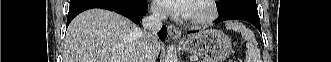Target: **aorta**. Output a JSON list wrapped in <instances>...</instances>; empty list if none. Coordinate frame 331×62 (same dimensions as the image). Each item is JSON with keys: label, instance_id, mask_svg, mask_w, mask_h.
Wrapping results in <instances>:
<instances>
[{"label": "aorta", "instance_id": "1", "mask_svg": "<svg viewBox=\"0 0 331 62\" xmlns=\"http://www.w3.org/2000/svg\"><path fill=\"white\" fill-rule=\"evenodd\" d=\"M165 62H177V56L173 46H169V48H167Z\"/></svg>", "mask_w": 331, "mask_h": 62}]
</instances>
